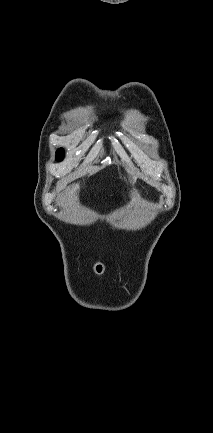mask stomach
<instances>
[{
  "label": "stomach",
  "instance_id": "0dacf381",
  "mask_svg": "<svg viewBox=\"0 0 213 433\" xmlns=\"http://www.w3.org/2000/svg\"><path fill=\"white\" fill-rule=\"evenodd\" d=\"M129 196H130V198H131L132 200H135L137 197H139V193H138L136 190H132V191L129 193Z\"/></svg>",
  "mask_w": 213,
  "mask_h": 433
}]
</instances>
